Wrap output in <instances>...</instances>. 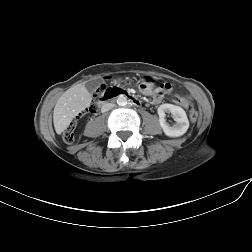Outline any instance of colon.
Segmentation results:
<instances>
[{
  "label": "colon",
  "mask_w": 252,
  "mask_h": 252,
  "mask_svg": "<svg viewBox=\"0 0 252 252\" xmlns=\"http://www.w3.org/2000/svg\"><path fill=\"white\" fill-rule=\"evenodd\" d=\"M152 85V81L151 80H145L143 82V84L141 86L144 87H150ZM118 90H120V88L115 87V86H102L98 91H97V97L98 98H104L107 97L109 95L114 94L115 92H117ZM174 100L176 102H181L184 104V106L188 109L189 111V118L191 122H196L198 119V113L195 110L192 102L190 99L188 98H180L178 96L174 97ZM98 107L97 102H94L90 108V111H95ZM63 139L66 143H72L74 141V123H72L64 132L63 134Z\"/></svg>",
  "instance_id": "colon-1"
}]
</instances>
